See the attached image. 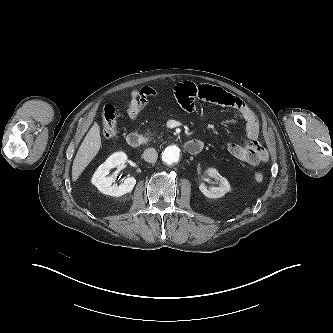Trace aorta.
Listing matches in <instances>:
<instances>
[{
  "mask_svg": "<svg viewBox=\"0 0 333 333\" xmlns=\"http://www.w3.org/2000/svg\"><path fill=\"white\" fill-rule=\"evenodd\" d=\"M179 157H180V149L175 145H170L166 147L162 153V160L169 165L178 162Z\"/></svg>",
  "mask_w": 333,
  "mask_h": 333,
  "instance_id": "obj_1",
  "label": "aorta"
}]
</instances>
